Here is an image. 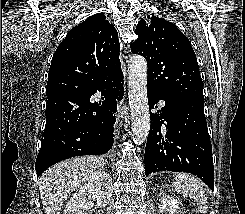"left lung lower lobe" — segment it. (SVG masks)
<instances>
[{
	"mask_svg": "<svg viewBox=\"0 0 245 214\" xmlns=\"http://www.w3.org/2000/svg\"><path fill=\"white\" fill-rule=\"evenodd\" d=\"M150 110L159 100L165 106L151 113L145 148L146 176L157 171L188 172L214 189L212 146L204 115V100L171 98L147 87ZM165 122V125H163Z\"/></svg>",
	"mask_w": 245,
	"mask_h": 214,
	"instance_id": "obj_1",
	"label": "left lung lower lobe"
}]
</instances>
